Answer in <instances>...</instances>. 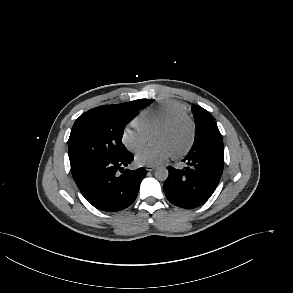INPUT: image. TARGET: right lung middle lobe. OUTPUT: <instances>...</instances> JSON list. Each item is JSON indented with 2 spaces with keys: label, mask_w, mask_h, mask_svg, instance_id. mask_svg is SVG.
Masks as SVG:
<instances>
[{
  "label": "right lung middle lobe",
  "mask_w": 293,
  "mask_h": 293,
  "mask_svg": "<svg viewBox=\"0 0 293 293\" xmlns=\"http://www.w3.org/2000/svg\"><path fill=\"white\" fill-rule=\"evenodd\" d=\"M149 103L147 99H140L99 106L82 114L75 121L68 140L72 175L97 161L126 153L122 137L127 115L133 106L140 110Z\"/></svg>",
  "instance_id": "1"
}]
</instances>
